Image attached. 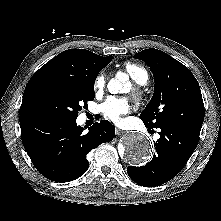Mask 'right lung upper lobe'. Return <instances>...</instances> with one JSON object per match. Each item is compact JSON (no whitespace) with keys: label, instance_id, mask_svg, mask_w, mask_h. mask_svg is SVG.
Instances as JSON below:
<instances>
[{"label":"right lung upper lobe","instance_id":"obj_1","mask_svg":"<svg viewBox=\"0 0 221 221\" xmlns=\"http://www.w3.org/2000/svg\"><path fill=\"white\" fill-rule=\"evenodd\" d=\"M112 56L102 57L85 49H69L42 66L26 85L23 101L39 85L49 81H82L90 82L96 79L110 61ZM24 115L20 114V118Z\"/></svg>","mask_w":221,"mask_h":221}]
</instances>
